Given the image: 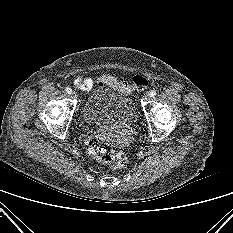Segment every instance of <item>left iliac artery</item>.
Masks as SVG:
<instances>
[{
	"instance_id": "1",
	"label": "left iliac artery",
	"mask_w": 233,
	"mask_h": 233,
	"mask_svg": "<svg viewBox=\"0 0 233 233\" xmlns=\"http://www.w3.org/2000/svg\"><path fill=\"white\" fill-rule=\"evenodd\" d=\"M156 95V91L155 90H151L150 92H149V96L150 97H154Z\"/></svg>"
}]
</instances>
